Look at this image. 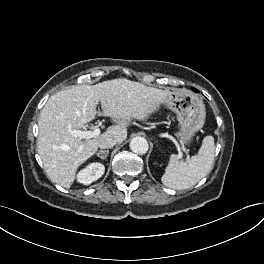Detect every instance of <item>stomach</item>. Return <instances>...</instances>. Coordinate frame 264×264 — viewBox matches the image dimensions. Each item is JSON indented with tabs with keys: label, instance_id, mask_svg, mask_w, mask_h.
<instances>
[{
	"label": "stomach",
	"instance_id": "0dacf381",
	"mask_svg": "<svg viewBox=\"0 0 264 264\" xmlns=\"http://www.w3.org/2000/svg\"><path fill=\"white\" fill-rule=\"evenodd\" d=\"M160 105L172 110L178 119L180 131L178 137L182 142L191 140L195 132L203 127L206 117L205 105L198 95L187 90H175L167 99L156 105L154 112Z\"/></svg>",
	"mask_w": 264,
	"mask_h": 264
}]
</instances>
